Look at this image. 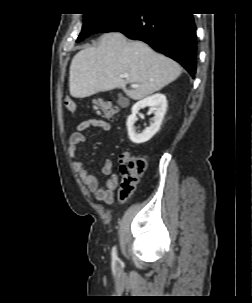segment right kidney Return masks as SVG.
Listing matches in <instances>:
<instances>
[{"instance_id":"1","label":"right kidney","mask_w":252,"mask_h":303,"mask_svg":"<svg viewBox=\"0 0 252 303\" xmlns=\"http://www.w3.org/2000/svg\"><path fill=\"white\" fill-rule=\"evenodd\" d=\"M150 107L149 113H154L152 123L143 132L136 133L134 123L137 120L136 114L139 110ZM167 109V100L164 94H154L141 101H138L132 107V114L127 119V130L130 140L133 143L141 144L149 141L160 129L164 115Z\"/></svg>"}]
</instances>
